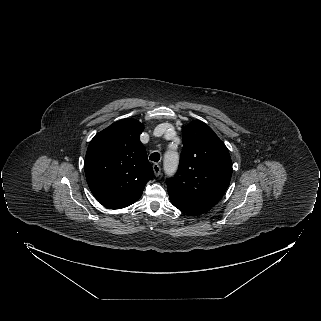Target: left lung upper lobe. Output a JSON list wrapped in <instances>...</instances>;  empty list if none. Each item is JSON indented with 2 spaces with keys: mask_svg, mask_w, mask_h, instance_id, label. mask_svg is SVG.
<instances>
[{
  "mask_svg": "<svg viewBox=\"0 0 321 321\" xmlns=\"http://www.w3.org/2000/svg\"><path fill=\"white\" fill-rule=\"evenodd\" d=\"M179 168L167 180L169 195L183 201L214 206L224 195L232 175L225 144L205 123L194 120L182 128Z\"/></svg>",
  "mask_w": 321,
  "mask_h": 321,
  "instance_id": "5c2ea615",
  "label": "left lung upper lobe"
}]
</instances>
